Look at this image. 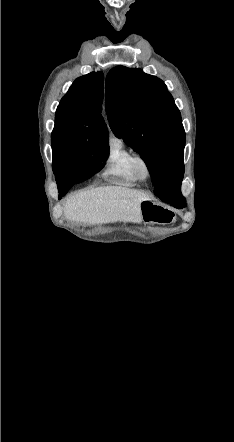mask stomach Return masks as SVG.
<instances>
[{"instance_id": "obj_1", "label": "stomach", "mask_w": 234, "mask_h": 442, "mask_svg": "<svg viewBox=\"0 0 234 442\" xmlns=\"http://www.w3.org/2000/svg\"><path fill=\"white\" fill-rule=\"evenodd\" d=\"M140 210L145 223L168 224L175 221L174 212L151 200L141 202Z\"/></svg>"}]
</instances>
